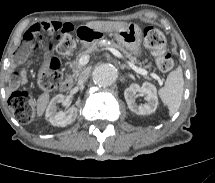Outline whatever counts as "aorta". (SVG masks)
<instances>
[{"mask_svg":"<svg viewBox=\"0 0 215 183\" xmlns=\"http://www.w3.org/2000/svg\"><path fill=\"white\" fill-rule=\"evenodd\" d=\"M118 76L117 69L110 63H102L98 65L93 73L92 79L98 86L106 87L113 84Z\"/></svg>","mask_w":215,"mask_h":183,"instance_id":"1","label":"aorta"}]
</instances>
